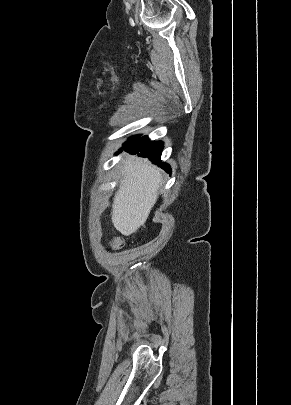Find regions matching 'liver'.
Returning a JSON list of instances; mask_svg holds the SVG:
<instances>
[{
    "instance_id": "liver-1",
    "label": "liver",
    "mask_w": 291,
    "mask_h": 405,
    "mask_svg": "<svg viewBox=\"0 0 291 405\" xmlns=\"http://www.w3.org/2000/svg\"><path fill=\"white\" fill-rule=\"evenodd\" d=\"M120 187L113 198L112 222L129 236L144 226L162 186L160 169L148 160L130 156L121 168Z\"/></svg>"
}]
</instances>
